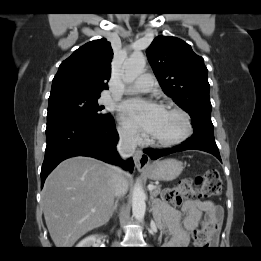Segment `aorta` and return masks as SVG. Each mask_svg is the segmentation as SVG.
<instances>
[{
  "instance_id": "762f6f07",
  "label": "aorta",
  "mask_w": 261,
  "mask_h": 261,
  "mask_svg": "<svg viewBox=\"0 0 261 261\" xmlns=\"http://www.w3.org/2000/svg\"><path fill=\"white\" fill-rule=\"evenodd\" d=\"M146 59L141 53H134L123 64L124 81L131 83L144 72ZM146 211L145 192L136 183L132 192V213L135 219L142 221Z\"/></svg>"
}]
</instances>
